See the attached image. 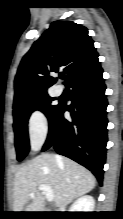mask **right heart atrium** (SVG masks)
Returning a JSON list of instances; mask_svg holds the SVG:
<instances>
[{"label": "right heart atrium", "mask_w": 123, "mask_h": 219, "mask_svg": "<svg viewBox=\"0 0 123 219\" xmlns=\"http://www.w3.org/2000/svg\"><path fill=\"white\" fill-rule=\"evenodd\" d=\"M28 136L32 149H38L48 134V120L46 115L40 111H33L28 118Z\"/></svg>", "instance_id": "right-heart-atrium-1"}]
</instances>
